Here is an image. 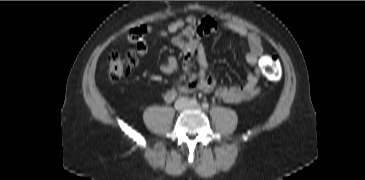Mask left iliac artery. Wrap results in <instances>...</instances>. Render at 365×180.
<instances>
[{"mask_svg":"<svg viewBox=\"0 0 365 180\" xmlns=\"http://www.w3.org/2000/svg\"><path fill=\"white\" fill-rule=\"evenodd\" d=\"M202 107H203L204 109H208L209 104H208L207 102H204V103L202 104Z\"/></svg>","mask_w":365,"mask_h":180,"instance_id":"1","label":"left iliac artery"}]
</instances>
